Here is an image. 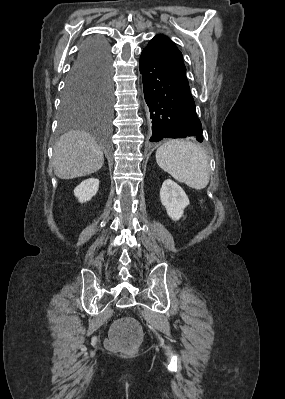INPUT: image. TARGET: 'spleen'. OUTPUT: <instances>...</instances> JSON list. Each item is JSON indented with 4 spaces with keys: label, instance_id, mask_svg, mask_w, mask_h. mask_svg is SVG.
I'll return each instance as SVG.
<instances>
[{
    "label": "spleen",
    "instance_id": "1",
    "mask_svg": "<svg viewBox=\"0 0 285 399\" xmlns=\"http://www.w3.org/2000/svg\"><path fill=\"white\" fill-rule=\"evenodd\" d=\"M156 162L174 179L189 187L204 189L210 178L206 152L189 140L172 139L156 151Z\"/></svg>",
    "mask_w": 285,
    "mask_h": 399
}]
</instances>
